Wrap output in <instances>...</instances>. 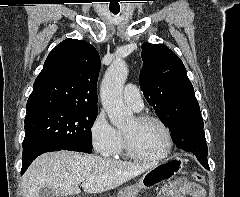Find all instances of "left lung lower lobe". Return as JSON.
<instances>
[{"label":"left lung lower lobe","instance_id":"left-lung-lower-lobe-1","mask_svg":"<svg viewBox=\"0 0 240 197\" xmlns=\"http://www.w3.org/2000/svg\"><path fill=\"white\" fill-rule=\"evenodd\" d=\"M203 127V124L193 122L189 125V127H182L180 130H177L176 134L173 136V140L177 144L178 148L183 150H185L188 145L202 143L206 141ZM197 158L206 169H210L207 157L198 155Z\"/></svg>","mask_w":240,"mask_h":197}]
</instances>
